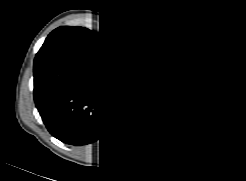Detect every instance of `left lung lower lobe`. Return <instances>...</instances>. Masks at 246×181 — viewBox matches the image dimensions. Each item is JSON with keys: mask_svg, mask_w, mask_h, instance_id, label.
I'll list each match as a JSON object with an SVG mask.
<instances>
[{"mask_svg": "<svg viewBox=\"0 0 246 181\" xmlns=\"http://www.w3.org/2000/svg\"><path fill=\"white\" fill-rule=\"evenodd\" d=\"M219 94L214 58L192 57L180 78L160 88L139 87L135 110L150 141L171 146L193 139L213 116Z\"/></svg>", "mask_w": 246, "mask_h": 181, "instance_id": "1", "label": "left lung lower lobe"}]
</instances>
